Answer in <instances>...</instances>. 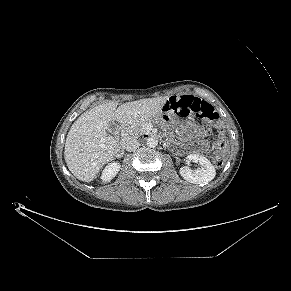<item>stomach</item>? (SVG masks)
Instances as JSON below:
<instances>
[{"instance_id": "stomach-1", "label": "stomach", "mask_w": 291, "mask_h": 291, "mask_svg": "<svg viewBox=\"0 0 291 291\" xmlns=\"http://www.w3.org/2000/svg\"><path fill=\"white\" fill-rule=\"evenodd\" d=\"M172 116L169 113H160L155 116L152 121L159 124H165L166 122L170 121Z\"/></svg>"}]
</instances>
